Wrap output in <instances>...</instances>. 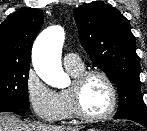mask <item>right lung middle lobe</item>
<instances>
[{
  "label": "right lung middle lobe",
  "instance_id": "1",
  "mask_svg": "<svg viewBox=\"0 0 147 131\" xmlns=\"http://www.w3.org/2000/svg\"><path fill=\"white\" fill-rule=\"evenodd\" d=\"M29 66L0 63V105L28 109Z\"/></svg>",
  "mask_w": 147,
  "mask_h": 131
}]
</instances>
